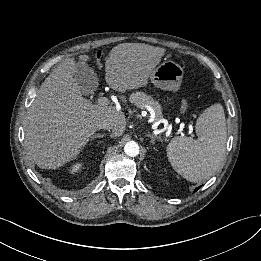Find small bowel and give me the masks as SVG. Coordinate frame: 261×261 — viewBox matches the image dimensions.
<instances>
[{
    "label": "small bowel",
    "mask_w": 261,
    "mask_h": 261,
    "mask_svg": "<svg viewBox=\"0 0 261 261\" xmlns=\"http://www.w3.org/2000/svg\"><path fill=\"white\" fill-rule=\"evenodd\" d=\"M186 107H187V101H186V99H183L181 108H182V110H185Z\"/></svg>",
    "instance_id": "small-bowel-1"
}]
</instances>
